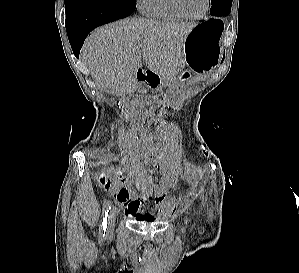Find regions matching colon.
Returning a JSON list of instances; mask_svg holds the SVG:
<instances>
[{"mask_svg":"<svg viewBox=\"0 0 299 273\" xmlns=\"http://www.w3.org/2000/svg\"><path fill=\"white\" fill-rule=\"evenodd\" d=\"M104 178H109V177H106V176H104V175H102ZM109 180V179H108Z\"/></svg>","mask_w":299,"mask_h":273,"instance_id":"1","label":"colon"}]
</instances>
